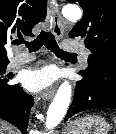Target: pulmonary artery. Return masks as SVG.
Masks as SVG:
<instances>
[{
    "mask_svg": "<svg viewBox=\"0 0 116 134\" xmlns=\"http://www.w3.org/2000/svg\"><path fill=\"white\" fill-rule=\"evenodd\" d=\"M62 48L66 52H79L85 61H87L89 58V51L83 48L81 44L77 41L65 40L62 43ZM34 58L35 57L32 55H27L23 52H19L11 58L9 62V67L16 68L25 65L34 60Z\"/></svg>",
    "mask_w": 116,
    "mask_h": 134,
    "instance_id": "e3ab8cb5",
    "label": "pulmonary artery"
}]
</instances>
